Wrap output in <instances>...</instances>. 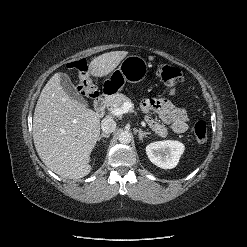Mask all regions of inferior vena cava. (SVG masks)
Instances as JSON below:
<instances>
[{
	"mask_svg": "<svg viewBox=\"0 0 247 247\" xmlns=\"http://www.w3.org/2000/svg\"><path fill=\"white\" fill-rule=\"evenodd\" d=\"M116 128V122L111 117H106L101 122V129L104 133H112Z\"/></svg>",
	"mask_w": 247,
	"mask_h": 247,
	"instance_id": "1",
	"label": "inferior vena cava"
}]
</instances>
